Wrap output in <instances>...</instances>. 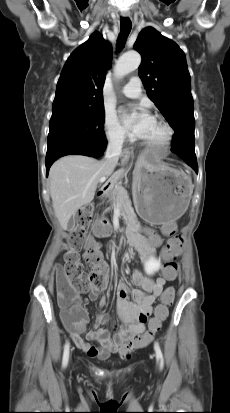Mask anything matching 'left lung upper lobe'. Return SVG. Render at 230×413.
I'll return each instance as SVG.
<instances>
[{
    "instance_id": "left-lung-upper-lobe-1",
    "label": "left lung upper lobe",
    "mask_w": 230,
    "mask_h": 413,
    "mask_svg": "<svg viewBox=\"0 0 230 413\" xmlns=\"http://www.w3.org/2000/svg\"><path fill=\"white\" fill-rule=\"evenodd\" d=\"M134 49L142 55L138 74L147 95L175 131L171 150L181 158L195 156L194 107L184 52L152 27L140 32Z\"/></svg>"
}]
</instances>
